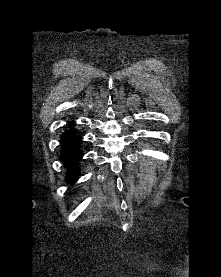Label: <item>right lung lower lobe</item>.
<instances>
[{"instance_id": "right-lung-lower-lobe-1", "label": "right lung lower lobe", "mask_w": 221, "mask_h": 277, "mask_svg": "<svg viewBox=\"0 0 221 277\" xmlns=\"http://www.w3.org/2000/svg\"><path fill=\"white\" fill-rule=\"evenodd\" d=\"M81 136L75 131L69 130L61 138L62 151L61 161L65 164L68 171V182L74 183L77 180V174L80 172L78 162L82 157L80 150Z\"/></svg>"}]
</instances>
